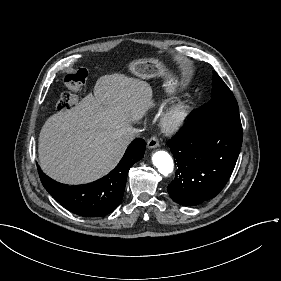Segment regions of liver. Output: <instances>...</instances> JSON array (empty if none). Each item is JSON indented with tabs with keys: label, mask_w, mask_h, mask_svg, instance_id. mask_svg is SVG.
Masks as SVG:
<instances>
[{
	"label": "liver",
	"mask_w": 281,
	"mask_h": 281,
	"mask_svg": "<svg viewBox=\"0 0 281 281\" xmlns=\"http://www.w3.org/2000/svg\"><path fill=\"white\" fill-rule=\"evenodd\" d=\"M154 106L147 82L123 74L100 77L94 94L43 125L38 143L42 170L66 184L97 180L121 160L130 144L131 123Z\"/></svg>",
	"instance_id": "1"
}]
</instances>
